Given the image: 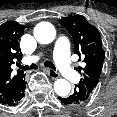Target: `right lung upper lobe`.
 Here are the masks:
<instances>
[{"mask_svg": "<svg viewBox=\"0 0 117 117\" xmlns=\"http://www.w3.org/2000/svg\"><path fill=\"white\" fill-rule=\"evenodd\" d=\"M25 28L14 21L0 25V101L9 95L18 81L24 79L23 71H17L16 75H12L10 66L16 60H21L19 39Z\"/></svg>", "mask_w": 117, "mask_h": 117, "instance_id": "obj_1", "label": "right lung upper lobe"}]
</instances>
